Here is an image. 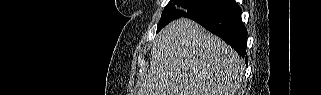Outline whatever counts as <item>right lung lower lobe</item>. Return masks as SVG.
I'll list each match as a JSON object with an SVG mask.
<instances>
[{
  "instance_id": "obj_1",
  "label": "right lung lower lobe",
  "mask_w": 321,
  "mask_h": 95,
  "mask_svg": "<svg viewBox=\"0 0 321 95\" xmlns=\"http://www.w3.org/2000/svg\"><path fill=\"white\" fill-rule=\"evenodd\" d=\"M241 12L235 0H212L186 17L196 21L230 44L245 58L247 63V30L241 20Z\"/></svg>"
}]
</instances>
